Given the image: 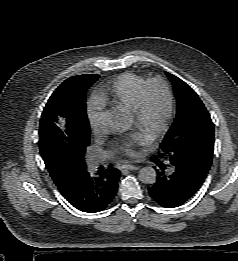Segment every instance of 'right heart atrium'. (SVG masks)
I'll return each instance as SVG.
<instances>
[{
    "label": "right heart atrium",
    "mask_w": 238,
    "mask_h": 261,
    "mask_svg": "<svg viewBox=\"0 0 238 261\" xmlns=\"http://www.w3.org/2000/svg\"><path fill=\"white\" fill-rule=\"evenodd\" d=\"M87 118L92 131L98 133L100 127V111L97 106L92 105L89 107Z\"/></svg>",
    "instance_id": "right-heart-atrium-1"
}]
</instances>
